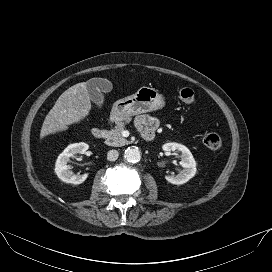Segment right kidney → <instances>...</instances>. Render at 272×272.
I'll return each instance as SVG.
<instances>
[{
  "mask_svg": "<svg viewBox=\"0 0 272 272\" xmlns=\"http://www.w3.org/2000/svg\"><path fill=\"white\" fill-rule=\"evenodd\" d=\"M88 144L84 142L70 144L57 158L55 164V173L59 179L63 182L71 184H81L83 183L88 174L75 175L69 169L70 166L68 162L70 158H74L77 154H84L88 150Z\"/></svg>",
  "mask_w": 272,
  "mask_h": 272,
  "instance_id": "right-kidney-1",
  "label": "right kidney"
}]
</instances>
